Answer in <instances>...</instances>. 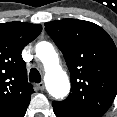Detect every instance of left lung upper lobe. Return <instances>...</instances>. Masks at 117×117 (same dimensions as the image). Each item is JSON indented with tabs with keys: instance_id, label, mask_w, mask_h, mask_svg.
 <instances>
[{
	"instance_id": "1",
	"label": "left lung upper lobe",
	"mask_w": 117,
	"mask_h": 117,
	"mask_svg": "<svg viewBox=\"0 0 117 117\" xmlns=\"http://www.w3.org/2000/svg\"><path fill=\"white\" fill-rule=\"evenodd\" d=\"M70 71L71 93L52 104L82 117H102L117 94V49L98 25L77 19L45 23Z\"/></svg>"
}]
</instances>
